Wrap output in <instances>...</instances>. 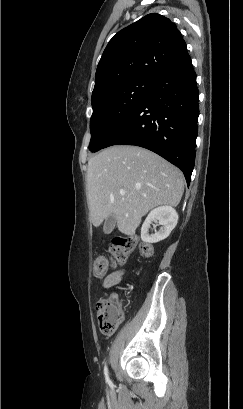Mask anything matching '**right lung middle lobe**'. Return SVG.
Instances as JSON below:
<instances>
[{"label":"right lung middle lobe","instance_id":"dd1d6c3e","mask_svg":"<svg viewBox=\"0 0 243 409\" xmlns=\"http://www.w3.org/2000/svg\"><path fill=\"white\" fill-rule=\"evenodd\" d=\"M154 84L143 79L128 81L92 102L89 150L96 152L106 147L111 136L138 108Z\"/></svg>","mask_w":243,"mask_h":409}]
</instances>
